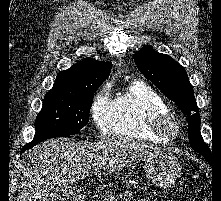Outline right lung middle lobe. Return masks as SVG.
<instances>
[{
	"instance_id": "right-lung-middle-lobe-1",
	"label": "right lung middle lobe",
	"mask_w": 221,
	"mask_h": 201,
	"mask_svg": "<svg viewBox=\"0 0 221 201\" xmlns=\"http://www.w3.org/2000/svg\"><path fill=\"white\" fill-rule=\"evenodd\" d=\"M94 92L71 95L47 92L35 122L34 139L50 135H75L89 121Z\"/></svg>"
}]
</instances>
